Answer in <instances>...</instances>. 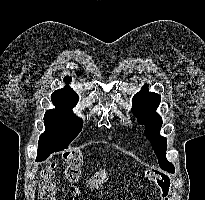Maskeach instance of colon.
Wrapping results in <instances>:
<instances>
[{
    "mask_svg": "<svg viewBox=\"0 0 205 200\" xmlns=\"http://www.w3.org/2000/svg\"><path fill=\"white\" fill-rule=\"evenodd\" d=\"M62 157L65 162L64 173L66 179L69 182H76L80 176L83 159L82 153L77 149H69L63 153ZM146 176L163 194V200H168L170 191L169 178L165 174L156 170H147ZM56 178V163L48 162L41 171L39 200H56Z\"/></svg>",
    "mask_w": 205,
    "mask_h": 200,
    "instance_id": "colon-1",
    "label": "colon"
}]
</instances>
